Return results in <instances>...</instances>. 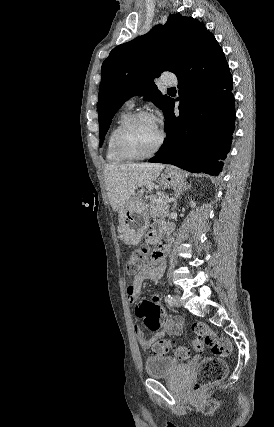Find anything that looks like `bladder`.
Returning <instances> with one entry per match:
<instances>
[{
	"mask_svg": "<svg viewBox=\"0 0 274 427\" xmlns=\"http://www.w3.org/2000/svg\"><path fill=\"white\" fill-rule=\"evenodd\" d=\"M181 364L169 356H147L145 358V373L149 378H159L176 375Z\"/></svg>",
	"mask_w": 274,
	"mask_h": 427,
	"instance_id": "31cf9c89",
	"label": "bladder"
}]
</instances>
